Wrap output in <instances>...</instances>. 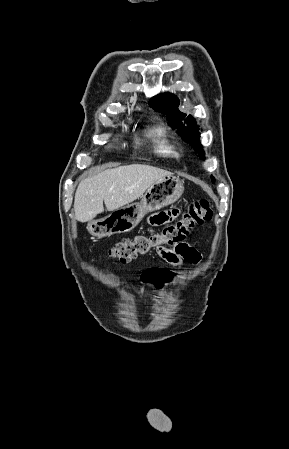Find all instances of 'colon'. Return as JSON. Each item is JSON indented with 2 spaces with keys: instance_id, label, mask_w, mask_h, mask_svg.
Returning a JSON list of instances; mask_svg holds the SVG:
<instances>
[{
  "instance_id": "5ec220e1",
  "label": "colon",
  "mask_w": 289,
  "mask_h": 449,
  "mask_svg": "<svg viewBox=\"0 0 289 449\" xmlns=\"http://www.w3.org/2000/svg\"><path fill=\"white\" fill-rule=\"evenodd\" d=\"M212 218V210L206 199L194 201L184 210L180 218L165 226L160 232L148 235H138L113 245L108 254L114 260L128 263L140 255H145L159 247L177 246L196 227L205 224ZM178 273L172 268H145L141 273V283L150 285L151 290H161L162 284L176 280Z\"/></svg>"
}]
</instances>
